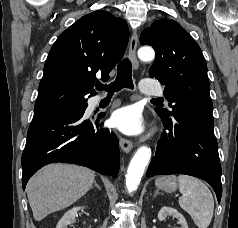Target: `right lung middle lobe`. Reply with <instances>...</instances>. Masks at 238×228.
Listing matches in <instances>:
<instances>
[{
    "label": "right lung middle lobe",
    "mask_w": 238,
    "mask_h": 228,
    "mask_svg": "<svg viewBox=\"0 0 238 228\" xmlns=\"http://www.w3.org/2000/svg\"><path fill=\"white\" fill-rule=\"evenodd\" d=\"M83 103H84V102H82V103H77V104H71V105H69V106H67V107H70V106L80 107V106H82ZM64 108H66V107H64Z\"/></svg>",
    "instance_id": "1"
}]
</instances>
